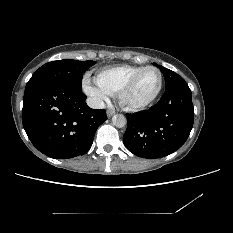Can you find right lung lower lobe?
Here are the masks:
<instances>
[{
  "instance_id": "obj_1",
  "label": "right lung lower lobe",
  "mask_w": 233,
  "mask_h": 233,
  "mask_svg": "<svg viewBox=\"0 0 233 233\" xmlns=\"http://www.w3.org/2000/svg\"><path fill=\"white\" fill-rule=\"evenodd\" d=\"M82 89L44 84L25 91L22 122L36 149L55 159L83 155L97 128L107 120L106 110L92 109Z\"/></svg>"
}]
</instances>
